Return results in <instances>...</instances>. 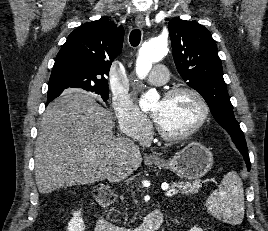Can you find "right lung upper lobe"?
Here are the masks:
<instances>
[{
    "label": "right lung upper lobe",
    "instance_id": "obj_1",
    "mask_svg": "<svg viewBox=\"0 0 268 231\" xmlns=\"http://www.w3.org/2000/svg\"><path fill=\"white\" fill-rule=\"evenodd\" d=\"M123 36V27L103 19L76 28L57 54L48 89H108L106 76L122 50ZM60 94L48 95L47 103Z\"/></svg>",
    "mask_w": 268,
    "mask_h": 231
}]
</instances>
